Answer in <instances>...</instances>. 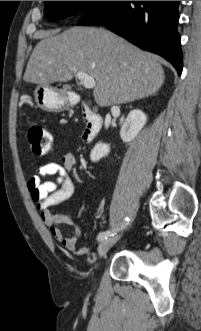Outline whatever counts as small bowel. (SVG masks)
<instances>
[{
	"label": "small bowel",
	"instance_id": "c3829d8e",
	"mask_svg": "<svg viewBox=\"0 0 201 331\" xmlns=\"http://www.w3.org/2000/svg\"><path fill=\"white\" fill-rule=\"evenodd\" d=\"M76 157L72 153L66 154L61 163L47 162L40 165L27 181V188L32 200L40 210L43 223L50 229L53 237L59 241L65 249L76 255H84L87 248L77 246L82 228L76 220L74 213L53 214L52 206L69 199L74 193V184L71 174L74 172ZM54 176V179H47ZM60 224L74 226V233L70 236L64 234L59 228Z\"/></svg>",
	"mask_w": 201,
	"mask_h": 331
}]
</instances>
